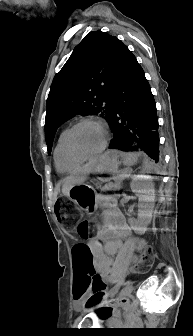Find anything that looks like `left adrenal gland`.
<instances>
[{
  "instance_id": "a2214340",
  "label": "left adrenal gland",
  "mask_w": 193,
  "mask_h": 336,
  "mask_svg": "<svg viewBox=\"0 0 193 336\" xmlns=\"http://www.w3.org/2000/svg\"><path fill=\"white\" fill-rule=\"evenodd\" d=\"M127 177H128V174L126 172H121V174L118 176V178H119V181H118L119 184H120V182H122V180H124Z\"/></svg>"
}]
</instances>
